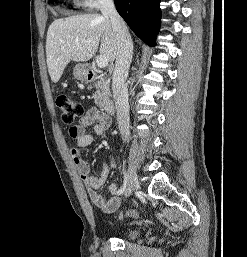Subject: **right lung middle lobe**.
<instances>
[{
	"label": "right lung middle lobe",
	"instance_id": "right-lung-middle-lobe-1",
	"mask_svg": "<svg viewBox=\"0 0 247 257\" xmlns=\"http://www.w3.org/2000/svg\"><path fill=\"white\" fill-rule=\"evenodd\" d=\"M54 1H56V0H51L52 3H53Z\"/></svg>",
	"mask_w": 247,
	"mask_h": 257
}]
</instances>
